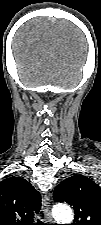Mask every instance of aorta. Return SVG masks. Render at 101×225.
I'll use <instances>...</instances> for the list:
<instances>
[{
    "instance_id": "aorta-1",
    "label": "aorta",
    "mask_w": 101,
    "mask_h": 225,
    "mask_svg": "<svg viewBox=\"0 0 101 225\" xmlns=\"http://www.w3.org/2000/svg\"><path fill=\"white\" fill-rule=\"evenodd\" d=\"M52 214L58 224H70L73 220V212L71 208L65 204L54 206Z\"/></svg>"
}]
</instances>
